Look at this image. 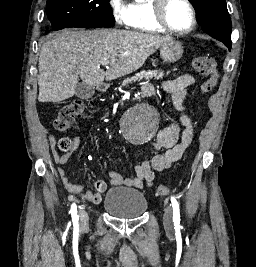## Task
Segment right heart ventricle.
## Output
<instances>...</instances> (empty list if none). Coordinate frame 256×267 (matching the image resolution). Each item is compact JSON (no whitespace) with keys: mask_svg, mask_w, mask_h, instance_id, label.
Wrapping results in <instances>:
<instances>
[{"mask_svg":"<svg viewBox=\"0 0 256 267\" xmlns=\"http://www.w3.org/2000/svg\"><path fill=\"white\" fill-rule=\"evenodd\" d=\"M137 9L138 18L148 27L143 36H160L167 34L154 23V11L156 0H136L134 5ZM142 30V29H141Z\"/></svg>","mask_w":256,"mask_h":267,"instance_id":"obj_1","label":"right heart ventricle"}]
</instances>
